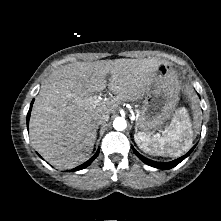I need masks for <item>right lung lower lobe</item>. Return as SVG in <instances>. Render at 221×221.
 Wrapping results in <instances>:
<instances>
[{"instance_id":"right-lung-lower-lobe-1","label":"right lung lower lobe","mask_w":221,"mask_h":221,"mask_svg":"<svg viewBox=\"0 0 221 221\" xmlns=\"http://www.w3.org/2000/svg\"><path fill=\"white\" fill-rule=\"evenodd\" d=\"M33 102H34V100L32 101L31 106H30V109H29L28 114H27V125H28V123H29V118H30V113H31V109H32ZM98 154H99V150L96 152V154H95L91 159H89V160H88L87 162H85L84 164H82V165H80V166H78V167L72 169V171H77V170H81V169L86 168V167L89 166V165L91 164V162L98 156Z\"/></svg>"}]
</instances>
